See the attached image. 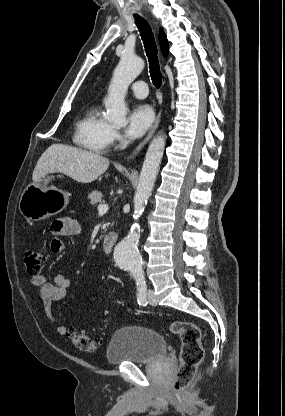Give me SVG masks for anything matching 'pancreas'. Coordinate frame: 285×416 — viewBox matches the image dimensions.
<instances>
[{
    "label": "pancreas",
    "instance_id": "pancreas-1",
    "mask_svg": "<svg viewBox=\"0 0 285 416\" xmlns=\"http://www.w3.org/2000/svg\"><path fill=\"white\" fill-rule=\"evenodd\" d=\"M102 198H103L102 192H91V194H88V200H91L90 204H102L103 202ZM103 234L102 236H100V238H104Z\"/></svg>",
    "mask_w": 285,
    "mask_h": 416
}]
</instances>
